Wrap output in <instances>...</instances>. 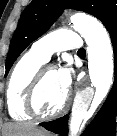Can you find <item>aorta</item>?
<instances>
[{
    "mask_svg": "<svg viewBox=\"0 0 117 136\" xmlns=\"http://www.w3.org/2000/svg\"><path fill=\"white\" fill-rule=\"evenodd\" d=\"M71 22L85 39L88 53V70L91 86L75 96L69 123V135L76 136L83 119L89 117V109L96 108L107 96L114 74L113 48L105 27L98 20L85 14H75Z\"/></svg>",
    "mask_w": 117,
    "mask_h": 136,
    "instance_id": "obj_1",
    "label": "aorta"
}]
</instances>
